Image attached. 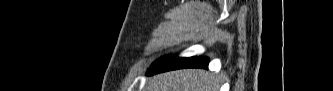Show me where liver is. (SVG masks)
<instances>
[{
    "label": "liver",
    "mask_w": 333,
    "mask_h": 91,
    "mask_svg": "<svg viewBox=\"0 0 333 91\" xmlns=\"http://www.w3.org/2000/svg\"><path fill=\"white\" fill-rule=\"evenodd\" d=\"M146 91H218V80L204 70L185 69L149 79Z\"/></svg>",
    "instance_id": "1"
}]
</instances>
